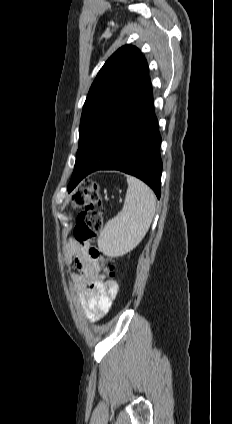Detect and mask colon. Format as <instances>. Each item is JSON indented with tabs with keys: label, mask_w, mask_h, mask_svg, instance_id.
Returning a JSON list of instances; mask_svg holds the SVG:
<instances>
[{
	"label": "colon",
	"mask_w": 232,
	"mask_h": 424,
	"mask_svg": "<svg viewBox=\"0 0 232 424\" xmlns=\"http://www.w3.org/2000/svg\"><path fill=\"white\" fill-rule=\"evenodd\" d=\"M70 204L74 208H82L74 228V237L81 243L92 244L89 254L100 259V267L110 276L115 275V262L104 256L101 249L95 245L102 227L104 207L100 198L97 182L86 179L83 184L70 195Z\"/></svg>",
	"instance_id": "colon-1"
}]
</instances>
